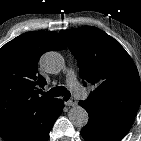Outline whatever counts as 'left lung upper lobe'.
Returning <instances> with one entry per match:
<instances>
[{
	"instance_id": "left-lung-upper-lobe-1",
	"label": "left lung upper lobe",
	"mask_w": 141,
	"mask_h": 141,
	"mask_svg": "<svg viewBox=\"0 0 141 141\" xmlns=\"http://www.w3.org/2000/svg\"><path fill=\"white\" fill-rule=\"evenodd\" d=\"M60 33L78 60L82 79L96 86L88 99L79 103L112 117L134 118L141 102L140 78L125 49L92 26Z\"/></svg>"
}]
</instances>
